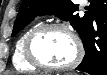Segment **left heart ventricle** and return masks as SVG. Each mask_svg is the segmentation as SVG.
Returning a JSON list of instances; mask_svg holds the SVG:
<instances>
[{
  "instance_id": "1",
  "label": "left heart ventricle",
  "mask_w": 107,
  "mask_h": 75,
  "mask_svg": "<svg viewBox=\"0 0 107 75\" xmlns=\"http://www.w3.org/2000/svg\"><path fill=\"white\" fill-rule=\"evenodd\" d=\"M36 55L51 65H65L75 56L73 40L63 31L50 30L41 34L34 43Z\"/></svg>"
}]
</instances>
